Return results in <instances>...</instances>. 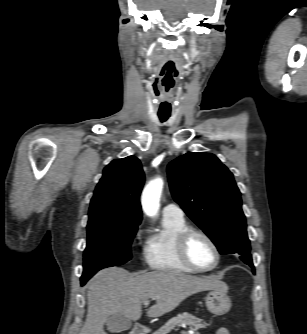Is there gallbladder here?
<instances>
[{
	"label": "gallbladder",
	"instance_id": "gallbladder-1",
	"mask_svg": "<svg viewBox=\"0 0 307 334\" xmlns=\"http://www.w3.org/2000/svg\"><path fill=\"white\" fill-rule=\"evenodd\" d=\"M106 326L108 331L111 333H121L123 331L129 330L132 326V322L129 318L122 314H113L107 321Z\"/></svg>",
	"mask_w": 307,
	"mask_h": 334
}]
</instances>
